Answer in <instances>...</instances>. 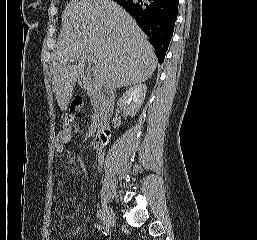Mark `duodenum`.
<instances>
[{
  "instance_id": "1",
  "label": "duodenum",
  "mask_w": 257,
  "mask_h": 240,
  "mask_svg": "<svg viewBox=\"0 0 257 240\" xmlns=\"http://www.w3.org/2000/svg\"><path fill=\"white\" fill-rule=\"evenodd\" d=\"M110 140V127L108 125H101L94 137V145L97 149H103L108 145Z\"/></svg>"
}]
</instances>
